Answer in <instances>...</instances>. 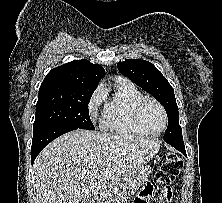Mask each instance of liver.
Wrapping results in <instances>:
<instances>
[{
    "instance_id": "1",
    "label": "liver",
    "mask_w": 222,
    "mask_h": 203,
    "mask_svg": "<svg viewBox=\"0 0 222 203\" xmlns=\"http://www.w3.org/2000/svg\"><path fill=\"white\" fill-rule=\"evenodd\" d=\"M160 143L132 134L68 132L46 146L34 162L38 203H80L99 193L118 196L121 185L153 158Z\"/></svg>"
}]
</instances>
